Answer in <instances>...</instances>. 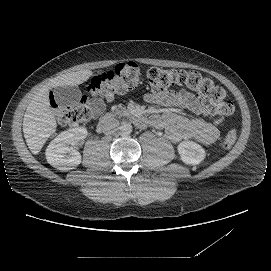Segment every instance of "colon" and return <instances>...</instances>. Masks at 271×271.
<instances>
[{
    "label": "colon",
    "mask_w": 271,
    "mask_h": 271,
    "mask_svg": "<svg viewBox=\"0 0 271 271\" xmlns=\"http://www.w3.org/2000/svg\"><path fill=\"white\" fill-rule=\"evenodd\" d=\"M150 89L154 94H161L175 86L185 87L197 93L204 103L217 115L228 116L234 106L226 100V92L210 78L197 71L162 69L152 67L147 72ZM140 82V68L135 62L118 64L112 71L96 73L88 86V95L78 105L61 106L51 98L53 111L64 125L76 126L86 123L102 107V98H110L134 89ZM91 97H97L91 99ZM237 138L235 129H231L222 141L223 149H230Z\"/></svg>",
    "instance_id": "obj_1"
}]
</instances>
